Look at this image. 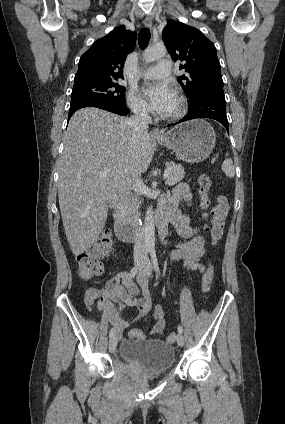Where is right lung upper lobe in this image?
I'll return each mask as SVG.
<instances>
[{
  "label": "right lung upper lobe",
  "mask_w": 285,
  "mask_h": 424,
  "mask_svg": "<svg viewBox=\"0 0 285 424\" xmlns=\"http://www.w3.org/2000/svg\"><path fill=\"white\" fill-rule=\"evenodd\" d=\"M135 44V32L126 30L124 26L113 29L81 56L74 84L120 80L126 56L133 51Z\"/></svg>",
  "instance_id": "right-lung-upper-lobe-1"
}]
</instances>
